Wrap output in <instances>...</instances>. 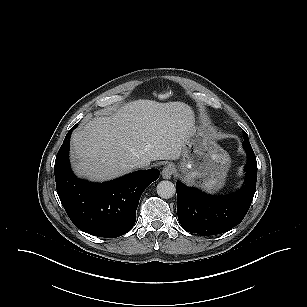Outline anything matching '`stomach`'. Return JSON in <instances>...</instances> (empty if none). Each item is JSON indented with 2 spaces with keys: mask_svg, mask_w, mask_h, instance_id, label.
Here are the masks:
<instances>
[{
  "mask_svg": "<svg viewBox=\"0 0 307 307\" xmlns=\"http://www.w3.org/2000/svg\"><path fill=\"white\" fill-rule=\"evenodd\" d=\"M230 163L228 153L217 145L211 132L193 123L178 165L183 180L209 193L217 192L225 184Z\"/></svg>",
  "mask_w": 307,
  "mask_h": 307,
  "instance_id": "stomach-1",
  "label": "stomach"
}]
</instances>
